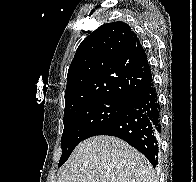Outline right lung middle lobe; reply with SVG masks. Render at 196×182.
<instances>
[{
    "label": "right lung middle lobe",
    "instance_id": "1",
    "mask_svg": "<svg viewBox=\"0 0 196 182\" xmlns=\"http://www.w3.org/2000/svg\"><path fill=\"white\" fill-rule=\"evenodd\" d=\"M129 102L112 98H99L64 112V130L61 138L62 166L74 148L91 137L101 126L122 113Z\"/></svg>",
    "mask_w": 196,
    "mask_h": 182
}]
</instances>
